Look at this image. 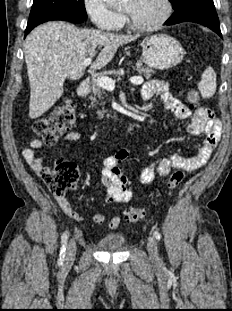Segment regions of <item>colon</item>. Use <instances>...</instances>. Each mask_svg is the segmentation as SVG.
Instances as JSON below:
<instances>
[{"mask_svg": "<svg viewBox=\"0 0 232 311\" xmlns=\"http://www.w3.org/2000/svg\"><path fill=\"white\" fill-rule=\"evenodd\" d=\"M200 100L197 90L189 91L187 104L190 110L194 109ZM75 122L74 103L64 99L54 108L53 112L43 118L35 120L31 125L33 134L42 138L47 144H53L57 138L68 130ZM44 180L49 189L56 195H64L74 187L78 179L77 169L66 162L57 161L52 167L44 169ZM184 179L182 170H175L168 180V189L175 190ZM146 217L143 208H132L125 212V218L130 223H136Z\"/></svg>", "mask_w": 232, "mask_h": 311, "instance_id": "5ec220e1", "label": "colon"}]
</instances>
